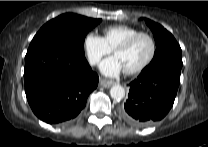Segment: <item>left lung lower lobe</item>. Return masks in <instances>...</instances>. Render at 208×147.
Returning <instances> with one entry per match:
<instances>
[{
  "label": "left lung lower lobe",
  "instance_id": "1",
  "mask_svg": "<svg viewBox=\"0 0 208 147\" xmlns=\"http://www.w3.org/2000/svg\"><path fill=\"white\" fill-rule=\"evenodd\" d=\"M182 65L163 61L144 68L130 83L128 99L119 109L128 124L144 127L163 119L173 106Z\"/></svg>",
  "mask_w": 208,
  "mask_h": 147
}]
</instances>
